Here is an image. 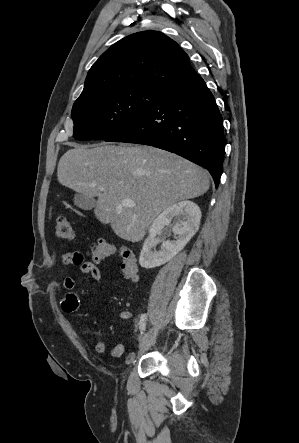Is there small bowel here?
I'll return each instance as SVG.
<instances>
[{
  "mask_svg": "<svg viewBox=\"0 0 299 443\" xmlns=\"http://www.w3.org/2000/svg\"><path fill=\"white\" fill-rule=\"evenodd\" d=\"M62 263L65 265L72 264L79 266L82 274L90 275L98 283L102 280V274L99 268L92 262L84 261L83 254L79 251L63 254ZM77 283L78 279L75 277H66L63 281V287L69 291L62 303V309L65 312H74L78 309L79 298L72 292ZM121 317L122 319H131L133 315L125 311L122 312ZM94 348L98 354H105L107 352V345L104 341H97ZM111 353L114 357H121L125 353V346L122 343H117L112 347Z\"/></svg>",
  "mask_w": 299,
  "mask_h": 443,
  "instance_id": "1",
  "label": "small bowel"
}]
</instances>
